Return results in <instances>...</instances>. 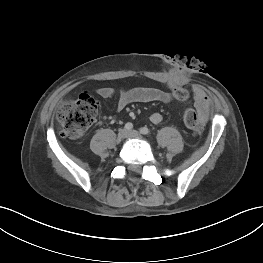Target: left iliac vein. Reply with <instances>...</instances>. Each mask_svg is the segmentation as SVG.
I'll use <instances>...</instances> for the list:
<instances>
[{"label":"left iliac vein","instance_id":"obj_1","mask_svg":"<svg viewBox=\"0 0 263 263\" xmlns=\"http://www.w3.org/2000/svg\"><path fill=\"white\" fill-rule=\"evenodd\" d=\"M128 136L134 137V138H141V134L136 130L129 131Z\"/></svg>","mask_w":263,"mask_h":263}]
</instances>
